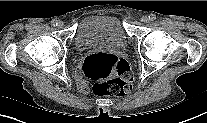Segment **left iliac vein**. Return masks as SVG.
<instances>
[{
  "label": "left iliac vein",
  "instance_id": "left-iliac-vein-1",
  "mask_svg": "<svg viewBox=\"0 0 207 123\" xmlns=\"http://www.w3.org/2000/svg\"><path fill=\"white\" fill-rule=\"evenodd\" d=\"M141 21L144 22V23H148V22H149V19H148L147 16H143V17L141 18Z\"/></svg>",
  "mask_w": 207,
  "mask_h": 123
}]
</instances>
